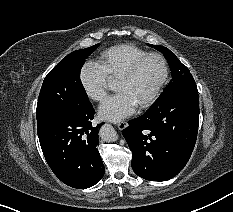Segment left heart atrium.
<instances>
[{
	"label": "left heart atrium",
	"instance_id": "39dd6f15",
	"mask_svg": "<svg viewBox=\"0 0 233 212\" xmlns=\"http://www.w3.org/2000/svg\"><path fill=\"white\" fill-rule=\"evenodd\" d=\"M136 105L123 92L108 98L99 108V115L103 119L118 121L130 116L135 111Z\"/></svg>",
	"mask_w": 233,
	"mask_h": 212
}]
</instances>
